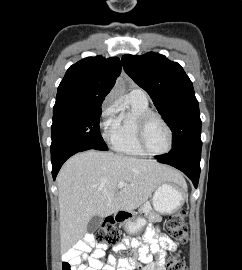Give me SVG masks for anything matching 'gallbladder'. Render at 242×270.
Wrapping results in <instances>:
<instances>
[{"label":"gallbladder","instance_id":"1","mask_svg":"<svg viewBox=\"0 0 242 270\" xmlns=\"http://www.w3.org/2000/svg\"><path fill=\"white\" fill-rule=\"evenodd\" d=\"M102 223V217L95 215L93 216L87 225L88 232H94Z\"/></svg>","mask_w":242,"mask_h":270}]
</instances>
